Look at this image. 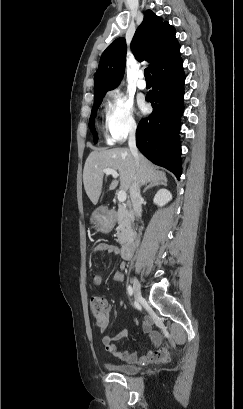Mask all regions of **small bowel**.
I'll return each mask as SVG.
<instances>
[{
    "label": "small bowel",
    "mask_w": 243,
    "mask_h": 409,
    "mask_svg": "<svg viewBox=\"0 0 243 409\" xmlns=\"http://www.w3.org/2000/svg\"><path fill=\"white\" fill-rule=\"evenodd\" d=\"M119 254V248L117 246L111 244L100 243L94 246L91 252V257H96L100 254ZM121 268L124 269L126 264L123 262L121 263ZM115 281L122 282L124 280V276L121 272H115L113 275ZM93 283L95 285H99L103 281V275L101 273H97L93 276ZM102 298V297H101ZM104 302V307L102 310L97 311L94 313V319L97 327L102 331L108 327V315H107V308L108 302L106 299L102 298ZM143 332L149 334L153 348L149 350L145 355L138 356V354L134 351L128 350H118L115 346V341L120 340L126 336L125 331H121L115 335L104 334L102 337V342L107 352L112 354L114 357L121 359L127 363H135V362H159V363H167L172 358V350L166 344L161 343L160 335L153 330V320L150 316H147L142 324Z\"/></svg>",
    "instance_id": "small-bowel-1"
}]
</instances>
